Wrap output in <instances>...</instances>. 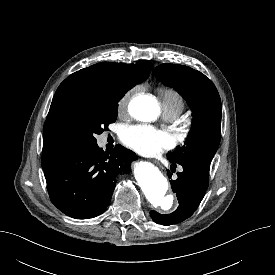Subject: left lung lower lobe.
<instances>
[{"label":"left lung lower lobe","instance_id":"obj_1","mask_svg":"<svg viewBox=\"0 0 275 275\" xmlns=\"http://www.w3.org/2000/svg\"><path fill=\"white\" fill-rule=\"evenodd\" d=\"M172 163V166H176V162ZM178 164L183 167V172L177 173L178 178L170 181L172 190L179 199L178 208L167 215L156 211L150 212L152 219L162 225L180 223L190 217L199 206L209 185L210 163L203 160H187ZM171 176L169 172L168 177Z\"/></svg>","mask_w":275,"mask_h":275}]
</instances>
